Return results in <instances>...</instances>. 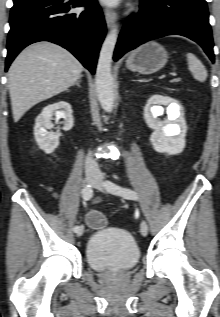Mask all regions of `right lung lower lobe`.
I'll return each mask as SVG.
<instances>
[{"label":"right lung lower lobe","mask_w":220,"mask_h":317,"mask_svg":"<svg viewBox=\"0 0 220 317\" xmlns=\"http://www.w3.org/2000/svg\"><path fill=\"white\" fill-rule=\"evenodd\" d=\"M86 6L82 13H68ZM6 71L27 45L50 41L69 50L91 73H95L98 52L106 33L103 14L96 0H21L10 15Z\"/></svg>","instance_id":"obj_1"}]
</instances>
